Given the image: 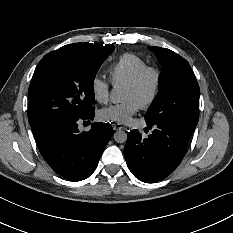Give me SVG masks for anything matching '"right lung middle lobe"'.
<instances>
[{
	"instance_id": "1",
	"label": "right lung middle lobe",
	"mask_w": 233,
	"mask_h": 233,
	"mask_svg": "<svg viewBox=\"0 0 233 233\" xmlns=\"http://www.w3.org/2000/svg\"><path fill=\"white\" fill-rule=\"evenodd\" d=\"M112 52L113 49L95 52L69 44L45 55L29 86L30 126L79 118L91 111L96 72Z\"/></svg>"
}]
</instances>
